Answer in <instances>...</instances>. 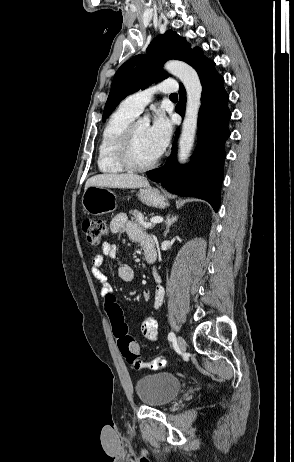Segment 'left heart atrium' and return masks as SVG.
I'll list each match as a JSON object with an SVG mask.
<instances>
[{
	"mask_svg": "<svg viewBox=\"0 0 294 462\" xmlns=\"http://www.w3.org/2000/svg\"><path fill=\"white\" fill-rule=\"evenodd\" d=\"M148 131L158 155L161 154L171 138L172 127L169 120L164 115L158 114Z\"/></svg>",
	"mask_w": 294,
	"mask_h": 462,
	"instance_id": "obj_1",
	"label": "left heart atrium"
}]
</instances>
